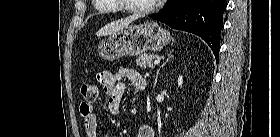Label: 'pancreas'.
Masks as SVG:
<instances>
[{"label": "pancreas", "instance_id": "cf45deb5", "mask_svg": "<svg viewBox=\"0 0 280 137\" xmlns=\"http://www.w3.org/2000/svg\"><path fill=\"white\" fill-rule=\"evenodd\" d=\"M155 58H156L155 55L144 53V54H141L138 56L136 62H137V65L140 67L153 68L154 65L152 62Z\"/></svg>", "mask_w": 280, "mask_h": 137}]
</instances>
